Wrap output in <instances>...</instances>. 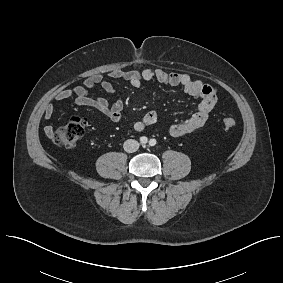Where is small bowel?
I'll use <instances>...</instances> for the list:
<instances>
[{
    "label": "small bowel",
    "mask_w": 283,
    "mask_h": 283,
    "mask_svg": "<svg viewBox=\"0 0 283 283\" xmlns=\"http://www.w3.org/2000/svg\"><path fill=\"white\" fill-rule=\"evenodd\" d=\"M109 76L113 79L127 81L134 87H140L145 81L156 80L162 84L182 87L189 95L199 98V103L188 119L172 124L169 127L170 134L175 137L190 134L203 127L217 102V91L213 86L196 80L186 73L167 72L162 68L115 69L109 72ZM96 86H100L110 95H115L116 93L114 85L110 81L104 79L102 75L96 74L86 78L81 86L59 91L55 99L64 101L74 97L77 105L92 107L100 111L111 121L119 122L122 119L123 101L118 98L110 102L104 98L90 96L88 91ZM54 113V104L49 103L45 105L43 110L44 119H51ZM158 119V113L151 110L146 112L140 120L135 121L132 127L135 131L142 132L147 127L155 125ZM45 131L46 134L50 135L52 127L47 126Z\"/></svg>",
    "instance_id": "c3829d8e"
}]
</instances>
